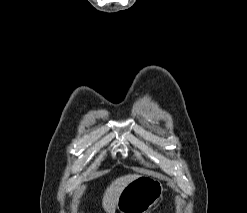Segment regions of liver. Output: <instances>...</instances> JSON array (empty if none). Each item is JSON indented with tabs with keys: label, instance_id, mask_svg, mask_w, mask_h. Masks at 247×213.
Instances as JSON below:
<instances>
[{
	"label": "liver",
	"instance_id": "1",
	"mask_svg": "<svg viewBox=\"0 0 247 213\" xmlns=\"http://www.w3.org/2000/svg\"><path fill=\"white\" fill-rule=\"evenodd\" d=\"M138 174H128L114 180L110 186L107 187L103 199L102 206L107 213H114L117 207L118 198L123 189L133 180L138 178Z\"/></svg>",
	"mask_w": 247,
	"mask_h": 213
}]
</instances>
